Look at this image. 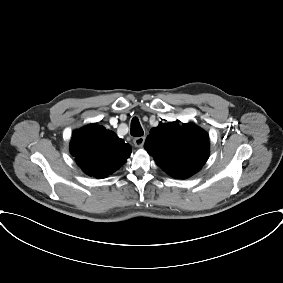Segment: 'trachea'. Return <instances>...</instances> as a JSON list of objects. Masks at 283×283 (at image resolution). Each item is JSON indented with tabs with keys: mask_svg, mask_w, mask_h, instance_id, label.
I'll return each instance as SVG.
<instances>
[{
	"mask_svg": "<svg viewBox=\"0 0 283 283\" xmlns=\"http://www.w3.org/2000/svg\"><path fill=\"white\" fill-rule=\"evenodd\" d=\"M131 135L135 137L144 135V131L137 117H134L131 121Z\"/></svg>",
	"mask_w": 283,
	"mask_h": 283,
	"instance_id": "1",
	"label": "trachea"
}]
</instances>
